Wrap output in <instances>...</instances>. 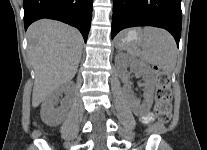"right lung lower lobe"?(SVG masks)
<instances>
[{"label":"right lung lower lobe","instance_id":"98d812e1","mask_svg":"<svg viewBox=\"0 0 207 150\" xmlns=\"http://www.w3.org/2000/svg\"><path fill=\"white\" fill-rule=\"evenodd\" d=\"M93 0H24V26L41 18L65 22L79 29L86 42L91 24Z\"/></svg>","mask_w":207,"mask_h":150}]
</instances>
